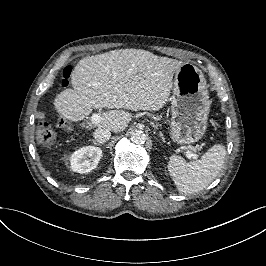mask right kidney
Wrapping results in <instances>:
<instances>
[{"instance_id":"1","label":"right kidney","mask_w":266,"mask_h":266,"mask_svg":"<svg viewBox=\"0 0 266 266\" xmlns=\"http://www.w3.org/2000/svg\"><path fill=\"white\" fill-rule=\"evenodd\" d=\"M102 156V150L97 147H85L76 151L72 157V169L85 173L94 169Z\"/></svg>"}]
</instances>
